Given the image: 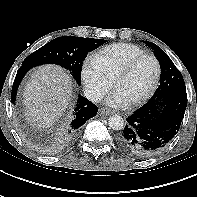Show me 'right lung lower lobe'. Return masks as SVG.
<instances>
[{"label":"right lung lower lobe","instance_id":"1","mask_svg":"<svg viewBox=\"0 0 197 197\" xmlns=\"http://www.w3.org/2000/svg\"><path fill=\"white\" fill-rule=\"evenodd\" d=\"M32 67L29 66H21L17 71L13 87L11 93V99L15 102L16 93L18 90V86L24 77V75L31 69ZM98 108L95 104H93L88 99L84 98L83 96H79L76 107L73 112L72 121L67 124L64 135L68 139H72L76 133L78 132L79 128L85 124V122L94 117L97 114Z\"/></svg>","mask_w":197,"mask_h":197}]
</instances>
